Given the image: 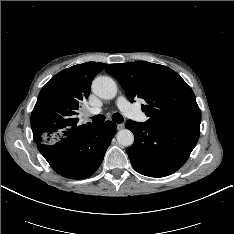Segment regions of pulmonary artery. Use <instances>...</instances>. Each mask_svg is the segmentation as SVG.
<instances>
[{
	"label": "pulmonary artery",
	"mask_w": 234,
	"mask_h": 234,
	"mask_svg": "<svg viewBox=\"0 0 234 234\" xmlns=\"http://www.w3.org/2000/svg\"><path fill=\"white\" fill-rule=\"evenodd\" d=\"M117 106L119 107V109L127 116L132 117V118H136L139 120H144V116L141 115L138 111H136L133 106L129 103V101L121 96L117 99ZM101 112L100 108H91L89 110V113L91 115H96L98 113Z\"/></svg>",
	"instance_id": "obj_1"
}]
</instances>
